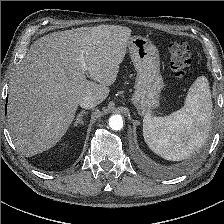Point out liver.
Masks as SVG:
<instances>
[{"instance_id": "obj_1", "label": "liver", "mask_w": 224, "mask_h": 224, "mask_svg": "<svg viewBox=\"0 0 224 224\" xmlns=\"http://www.w3.org/2000/svg\"><path fill=\"white\" fill-rule=\"evenodd\" d=\"M130 37L128 27L99 25L50 33L30 46L11 81L7 114L9 132L23 155L56 145L81 98L92 96L97 104L107 98ZM83 50L85 68L79 59Z\"/></svg>"}]
</instances>
